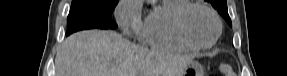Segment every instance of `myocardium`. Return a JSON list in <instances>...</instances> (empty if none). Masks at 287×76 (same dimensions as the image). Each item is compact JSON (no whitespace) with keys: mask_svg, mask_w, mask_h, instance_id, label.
<instances>
[{"mask_svg":"<svg viewBox=\"0 0 287 76\" xmlns=\"http://www.w3.org/2000/svg\"><path fill=\"white\" fill-rule=\"evenodd\" d=\"M195 8H200L208 12L212 16L217 27V31H216L214 38L210 42L205 43V44H201V43H197L193 41L188 35L186 27H185V19L187 15L189 14L191 10ZM174 26H175V30L179 38L187 46H189L192 49H198V50L209 49L216 44V42L218 41V39L220 38L222 34V22L219 16L217 15V13L211 7L203 3H199V2L189 1L186 5L181 7L176 13L175 20H174Z\"/></svg>","mask_w":287,"mask_h":76,"instance_id":"myocardium-1","label":"myocardium"}]
</instances>
